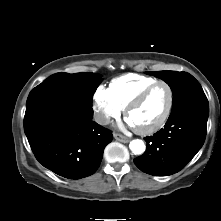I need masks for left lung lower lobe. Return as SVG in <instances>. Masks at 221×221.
<instances>
[{"mask_svg": "<svg viewBox=\"0 0 221 221\" xmlns=\"http://www.w3.org/2000/svg\"><path fill=\"white\" fill-rule=\"evenodd\" d=\"M209 104L204 93L190 96L172 107L164 128L145 137V153L134 159L143 172L168 176L180 171L202 147Z\"/></svg>", "mask_w": 221, "mask_h": 221, "instance_id": "left-lung-lower-lobe-1", "label": "left lung lower lobe"}]
</instances>
